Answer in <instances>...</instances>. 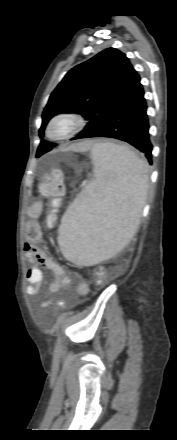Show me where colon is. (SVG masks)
<instances>
[{"label":"colon","instance_id":"obj_1","mask_svg":"<svg viewBox=\"0 0 177 440\" xmlns=\"http://www.w3.org/2000/svg\"><path fill=\"white\" fill-rule=\"evenodd\" d=\"M39 190L44 197L49 199V213L47 216L49 220L52 212L65 193L62 170L59 167L50 169L49 172L42 177Z\"/></svg>","mask_w":177,"mask_h":440}]
</instances>
